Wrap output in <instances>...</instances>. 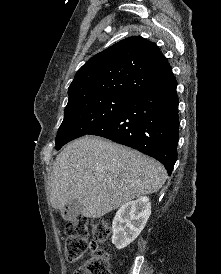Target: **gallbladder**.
<instances>
[{
	"mask_svg": "<svg viewBox=\"0 0 221 274\" xmlns=\"http://www.w3.org/2000/svg\"><path fill=\"white\" fill-rule=\"evenodd\" d=\"M82 211V204L78 201V200H73L70 202L69 206H68V210H66V214H63L64 218H71L74 219L77 216H79L81 214Z\"/></svg>",
	"mask_w": 221,
	"mask_h": 274,
	"instance_id": "gallbladder-1",
	"label": "gallbladder"
}]
</instances>
